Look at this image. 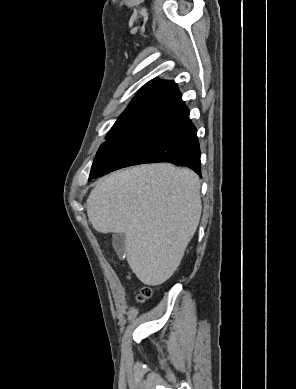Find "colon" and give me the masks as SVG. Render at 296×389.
Instances as JSON below:
<instances>
[{
	"mask_svg": "<svg viewBox=\"0 0 296 389\" xmlns=\"http://www.w3.org/2000/svg\"><path fill=\"white\" fill-rule=\"evenodd\" d=\"M152 294V289L150 287H144L141 289L137 296L138 302H144L146 299H148Z\"/></svg>",
	"mask_w": 296,
	"mask_h": 389,
	"instance_id": "colon-1",
	"label": "colon"
}]
</instances>
